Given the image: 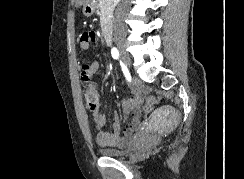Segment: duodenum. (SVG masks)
I'll return each instance as SVG.
<instances>
[{
	"mask_svg": "<svg viewBox=\"0 0 244 179\" xmlns=\"http://www.w3.org/2000/svg\"><path fill=\"white\" fill-rule=\"evenodd\" d=\"M102 37H103L105 43L108 45H110L113 41L112 34H111V28L108 26V24H105L104 29L102 30Z\"/></svg>",
	"mask_w": 244,
	"mask_h": 179,
	"instance_id": "obj_1",
	"label": "duodenum"
}]
</instances>
